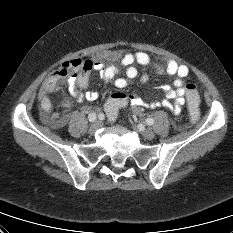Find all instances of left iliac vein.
<instances>
[{
    "label": "left iliac vein",
    "instance_id": "4c4485c4",
    "mask_svg": "<svg viewBox=\"0 0 233 233\" xmlns=\"http://www.w3.org/2000/svg\"><path fill=\"white\" fill-rule=\"evenodd\" d=\"M135 129L138 130L142 134V136L147 140H152L155 137L154 132L149 129H145L143 125H138L135 127Z\"/></svg>",
    "mask_w": 233,
    "mask_h": 233
}]
</instances>
